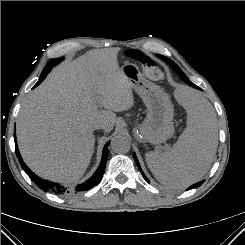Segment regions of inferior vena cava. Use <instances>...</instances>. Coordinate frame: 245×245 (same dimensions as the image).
<instances>
[{"label": "inferior vena cava", "instance_id": "obj_1", "mask_svg": "<svg viewBox=\"0 0 245 245\" xmlns=\"http://www.w3.org/2000/svg\"><path fill=\"white\" fill-rule=\"evenodd\" d=\"M103 128H104V125L101 123L95 125V129H103Z\"/></svg>", "mask_w": 245, "mask_h": 245}]
</instances>
